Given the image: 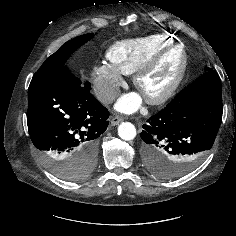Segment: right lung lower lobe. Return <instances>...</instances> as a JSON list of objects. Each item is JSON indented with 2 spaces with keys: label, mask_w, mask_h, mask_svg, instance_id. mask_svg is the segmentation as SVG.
Segmentation results:
<instances>
[{
  "label": "right lung lower lobe",
  "mask_w": 236,
  "mask_h": 236,
  "mask_svg": "<svg viewBox=\"0 0 236 236\" xmlns=\"http://www.w3.org/2000/svg\"><path fill=\"white\" fill-rule=\"evenodd\" d=\"M67 67L35 73L28 89L27 124L44 157L97 159L98 137L109 122L108 110Z\"/></svg>",
  "instance_id": "obj_1"
}]
</instances>
